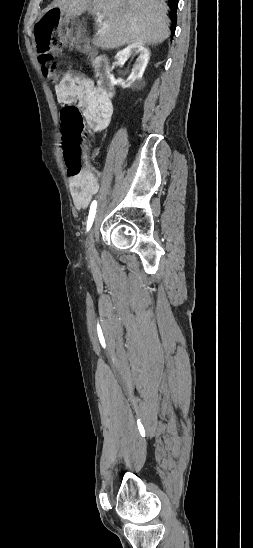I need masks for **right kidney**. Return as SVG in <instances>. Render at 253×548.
<instances>
[{
    "mask_svg": "<svg viewBox=\"0 0 253 548\" xmlns=\"http://www.w3.org/2000/svg\"><path fill=\"white\" fill-rule=\"evenodd\" d=\"M131 55H138V58L130 76L126 81L121 83V86L123 88H128L135 85L137 88H141L144 85L142 83V76L148 64L150 52L144 45L140 43H132L119 51L116 54L115 59L117 63L123 64ZM110 79L112 84H118L113 75L110 76Z\"/></svg>",
    "mask_w": 253,
    "mask_h": 548,
    "instance_id": "1",
    "label": "right kidney"
}]
</instances>
